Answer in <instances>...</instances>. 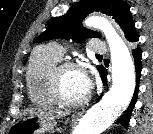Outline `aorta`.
<instances>
[{"label": "aorta", "instance_id": "1", "mask_svg": "<svg viewBox=\"0 0 153 134\" xmlns=\"http://www.w3.org/2000/svg\"><path fill=\"white\" fill-rule=\"evenodd\" d=\"M86 25L106 36L111 53L112 86L81 119L74 134H101L130 103L135 89V68L128 47L107 20L90 17Z\"/></svg>", "mask_w": 153, "mask_h": 134}]
</instances>
